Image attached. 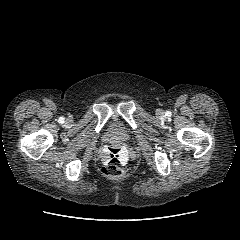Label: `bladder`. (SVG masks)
I'll use <instances>...</instances> for the list:
<instances>
[{"instance_id": "obj_1", "label": "bladder", "mask_w": 240, "mask_h": 240, "mask_svg": "<svg viewBox=\"0 0 240 240\" xmlns=\"http://www.w3.org/2000/svg\"><path fill=\"white\" fill-rule=\"evenodd\" d=\"M107 136L113 140L125 141L128 131L122 122L112 121L107 127Z\"/></svg>"}]
</instances>
